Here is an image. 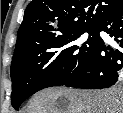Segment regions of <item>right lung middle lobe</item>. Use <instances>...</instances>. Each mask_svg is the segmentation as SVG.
<instances>
[{
    "mask_svg": "<svg viewBox=\"0 0 123 113\" xmlns=\"http://www.w3.org/2000/svg\"><path fill=\"white\" fill-rule=\"evenodd\" d=\"M97 26L73 29L15 47L11 63L14 109L37 91L74 80L101 42Z\"/></svg>",
    "mask_w": 123,
    "mask_h": 113,
    "instance_id": "obj_1",
    "label": "right lung middle lobe"
}]
</instances>
